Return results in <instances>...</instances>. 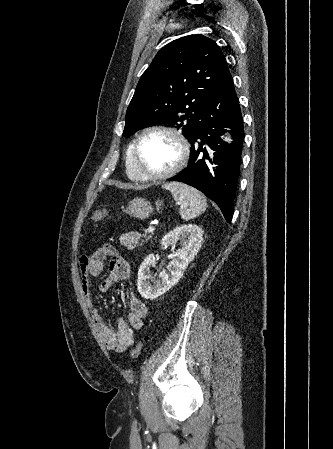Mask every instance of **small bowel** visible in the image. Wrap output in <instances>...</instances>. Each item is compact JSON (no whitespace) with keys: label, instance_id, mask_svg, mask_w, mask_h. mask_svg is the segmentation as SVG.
Wrapping results in <instances>:
<instances>
[{"label":"small bowel","instance_id":"small-bowel-1","mask_svg":"<svg viewBox=\"0 0 333 449\" xmlns=\"http://www.w3.org/2000/svg\"><path fill=\"white\" fill-rule=\"evenodd\" d=\"M106 258H109V273L99 284L101 292L109 291L114 284L129 277L128 263L119 255L113 245L105 244L94 254L84 255L80 258L81 289L90 307L94 325L105 345L116 352H123L134 344L135 331L143 327V320L148 316L149 310L140 299L131 296L128 318L117 319L115 330L108 326L93 305L91 297V279L101 274Z\"/></svg>","mask_w":333,"mask_h":449}]
</instances>
